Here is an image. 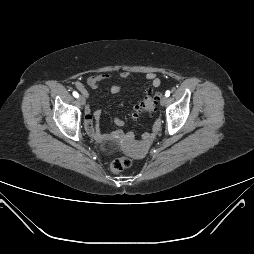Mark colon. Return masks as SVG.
<instances>
[{
  "mask_svg": "<svg viewBox=\"0 0 254 254\" xmlns=\"http://www.w3.org/2000/svg\"><path fill=\"white\" fill-rule=\"evenodd\" d=\"M156 109V99L151 93L148 91L145 98L139 103L135 110V116L140 117L143 114H151ZM114 147L117 148V144H113ZM132 166V160L126 156H119L115 158L110 165V168L113 172L119 173L124 170L129 169Z\"/></svg>",
  "mask_w": 254,
  "mask_h": 254,
  "instance_id": "1",
  "label": "colon"
}]
</instances>
